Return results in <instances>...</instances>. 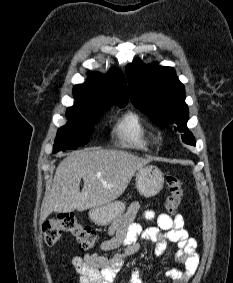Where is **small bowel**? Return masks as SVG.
<instances>
[{
	"instance_id": "small-bowel-1",
	"label": "small bowel",
	"mask_w": 233,
	"mask_h": 283,
	"mask_svg": "<svg viewBox=\"0 0 233 283\" xmlns=\"http://www.w3.org/2000/svg\"><path fill=\"white\" fill-rule=\"evenodd\" d=\"M140 205L133 202L127 211L109 229V239L100 244L103 251H112L121 246L123 252L111 257L94 253H85L83 256H74L72 265L79 275L80 283H113L126 257L137 253L143 243L154 244V254L162 256L169 242L177 245L174 259L184 266V270L169 269L165 276L174 283H187L196 272L199 265V256L196 253L197 242L184 229V219L179 213L169 215L156 214L152 210L144 212L148 221L156 220L157 227L143 229L135 222ZM129 283H143L141 271L134 268Z\"/></svg>"
}]
</instances>
